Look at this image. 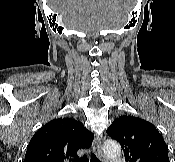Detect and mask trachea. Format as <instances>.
I'll list each match as a JSON object with an SVG mask.
<instances>
[{
    "instance_id": "3493384b",
    "label": "trachea",
    "mask_w": 175,
    "mask_h": 162,
    "mask_svg": "<svg viewBox=\"0 0 175 162\" xmlns=\"http://www.w3.org/2000/svg\"><path fill=\"white\" fill-rule=\"evenodd\" d=\"M75 162H100V161L96 157V155L94 153H92L90 161H89V157L85 155L82 158H80L79 160H75Z\"/></svg>"
}]
</instances>
